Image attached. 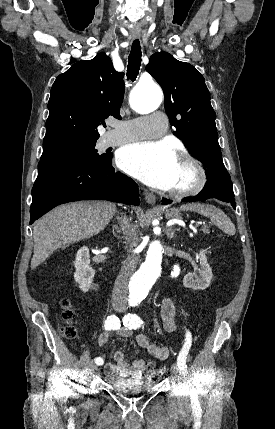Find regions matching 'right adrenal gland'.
<instances>
[{"mask_svg": "<svg viewBox=\"0 0 275 429\" xmlns=\"http://www.w3.org/2000/svg\"><path fill=\"white\" fill-rule=\"evenodd\" d=\"M112 228H113V234L116 236V233L117 234H120L121 233V230H120V228L117 226V225H112Z\"/></svg>", "mask_w": 275, "mask_h": 429, "instance_id": "obj_1", "label": "right adrenal gland"}]
</instances>
